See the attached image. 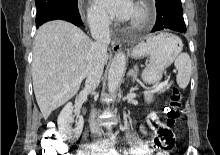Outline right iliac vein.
Instances as JSON below:
<instances>
[{
  "mask_svg": "<svg viewBox=\"0 0 220 155\" xmlns=\"http://www.w3.org/2000/svg\"><path fill=\"white\" fill-rule=\"evenodd\" d=\"M92 155H99L98 153H93Z\"/></svg>",
  "mask_w": 220,
  "mask_h": 155,
  "instance_id": "1",
  "label": "right iliac vein"
}]
</instances>
